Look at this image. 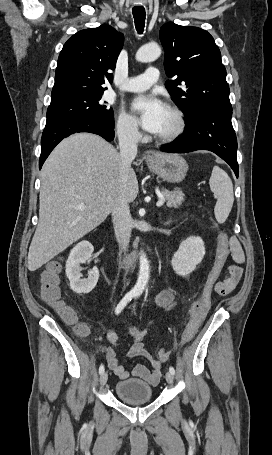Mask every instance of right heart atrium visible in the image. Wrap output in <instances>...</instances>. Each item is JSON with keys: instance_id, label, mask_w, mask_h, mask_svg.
<instances>
[{"instance_id": "1", "label": "right heart atrium", "mask_w": 272, "mask_h": 455, "mask_svg": "<svg viewBox=\"0 0 272 455\" xmlns=\"http://www.w3.org/2000/svg\"><path fill=\"white\" fill-rule=\"evenodd\" d=\"M116 133L121 141L129 144L138 143L141 139L135 120L125 112H120L117 116Z\"/></svg>"}]
</instances>
